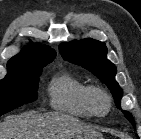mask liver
I'll use <instances>...</instances> for the list:
<instances>
[{
	"label": "liver",
	"instance_id": "6515ba94",
	"mask_svg": "<svg viewBox=\"0 0 141 139\" xmlns=\"http://www.w3.org/2000/svg\"><path fill=\"white\" fill-rule=\"evenodd\" d=\"M92 128L60 112H25L0 122V139H72Z\"/></svg>",
	"mask_w": 141,
	"mask_h": 139
}]
</instances>
